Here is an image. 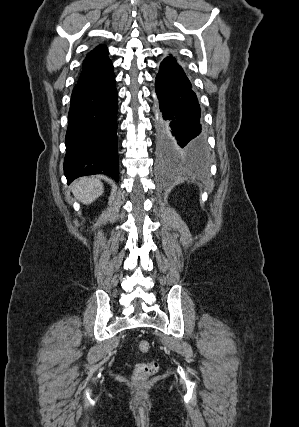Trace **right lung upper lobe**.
Here are the masks:
<instances>
[{
    "label": "right lung upper lobe",
    "mask_w": 299,
    "mask_h": 427,
    "mask_svg": "<svg viewBox=\"0 0 299 427\" xmlns=\"http://www.w3.org/2000/svg\"><path fill=\"white\" fill-rule=\"evenodd\" d=\"M113 70L108 57V50L104 45L97 46L91 51L83 62V69L78 82L99 79Z\"/></svg>",
    "instance_id": "1"
}]
</instances>
